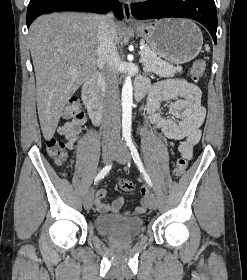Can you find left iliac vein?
<instances>
[{"mask_svg":"<svg viewBox=\"0 0 247 280\" xmlns=\"http://www.w3.org/2000/svg\"><path fill=\"white\" fill-rule=\"evenodd\" d=\"M114 159L120 164L129 163V161L131 160V155L127 147L124 145H118L114 154ZM148 202L151 209H157L158 201L156 195L153 192L150 193Z\"/></svg>","mask_w":247,"mask_h":280,"instance_id":"4c4485c4","label":"left iliac vein"}]
</instances>
